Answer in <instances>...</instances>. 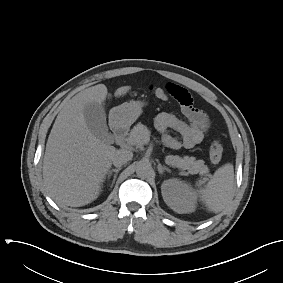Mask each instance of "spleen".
Returning a JSON list of instances; mask_svg holds the SVG:
<instances>
[{"mask_svg": "<svg viewBox=\"0 0 283 283\" xmlns=\"http://www.w3.org/2000/svg\"><path fill=\"white\" fill-rule=\"evenodd\" d=\"M234 188V167L227 163L219 167L206 183L199 181L196 190L192 192L194 198L205 204L212 212L222 211L232 199Z\"/></svg>", "mask_w": 283, "mask_h": 283, "instance_id": "obj_1", "label": "spleen"}]
</instances>
